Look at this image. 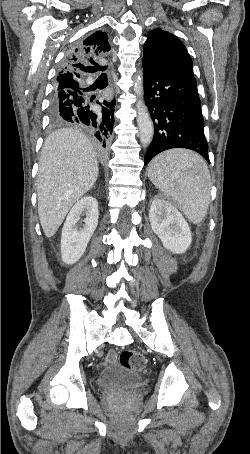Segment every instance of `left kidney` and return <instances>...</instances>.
<instances>
[{
  "label": "left kidney",
  "mask_w": 250,
  "mask_h": 454,
  "mask_svg": "<svg viewBox=\"0 0 250 454\" xmlns=\"http://www.w3.org/2000/svg\"><path fill=\"white\" fill-rule=\"evenodd\" d=\"M149 219L152 230L167 250L175 254L186 252L191 245L192 234L175 206L161 197H155L149 210Z\"/></svg>",
  "instance_id": "left-kidney-1"
}]
</instances>
